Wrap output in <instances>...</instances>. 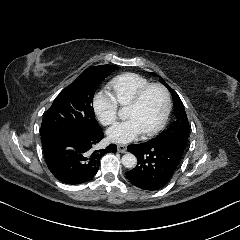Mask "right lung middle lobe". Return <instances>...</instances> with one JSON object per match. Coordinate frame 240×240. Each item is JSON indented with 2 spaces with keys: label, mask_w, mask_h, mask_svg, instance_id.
Instances as JSON below:
<instances>
[{
  "label": "right lung middle lobe",
  "mask_w": 240,
  "mask_h": 240,
  "mask_svg": "<svg viewBox=\"0 0 240 240\" xmlns=\"http://www.w3.org/2000/svg\"><path fill=\"white\" fill-rule=\"evenodd\" d=\"M116 68L113 65L87 68L63 89L43 118L41 138L57 132L100 130L92 106L94 93Z\"/></svg>",
  "instance_id": "1"
}]
</instances>
